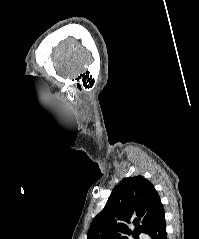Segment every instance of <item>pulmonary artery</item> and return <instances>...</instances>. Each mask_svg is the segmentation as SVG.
I'll return each mask as SVG.
<instances>
[{
  "instance_id": "obj_1",
  "label": "pulmonary artery",
  "mask_w": 199,
  "mask_h": 239,
  "mask_svg": "<svg viewBox=\"0 0 199 239\" xmlns=\"http://www.w3.org/2000/svg\"><path fill=\"white\" fill-rule=\"evenodd\" d=\"M141 239H149V237L145 233H140Z\"/></svg>"
}]
</instances>
